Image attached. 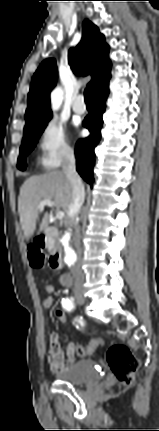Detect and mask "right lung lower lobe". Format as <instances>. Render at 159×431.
Here are the masks:
<instances>
[{
    "mask_svg": "<svg viewBox=\"0 0 159 431\" xmlns=\"http://www.w3.org/2000/svg\"><path fill=\"white\" fill-rule=\"evenodd\" d=\"M109 94V81L95 90V110L88 115L83 126L90 131V135L85 139H80L76 143V169L81 177L90 185L93 184V167L95 165L94 149L101 138L102 115L105 111V102Z\"/></svg>",
    "mask_w": 159,
    "mask_h": 431,
    "instance_id": "1",
    "label": "right lung lower lobe"
}]
</instances>
